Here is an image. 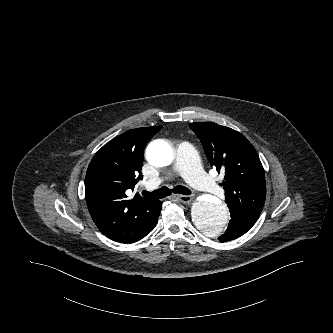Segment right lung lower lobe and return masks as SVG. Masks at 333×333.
Here are the masks:
<instances>
[{
  "mask_svg": "<svg viewBox=\"0 0 333 333\" xmlns=\"http://www.w3.org/2000/svg\"><path fill=\"white\" fill-rule=\"evenodd\" d=\"M162 203L157 200L154 204L143 210L130 223L125 233L114 241L134 243L149 234L157 224Z\"/></svg>",
  "mask_w": 333,
  "mask_h": 333,
  "instance_id": "1",
  "label": "right lung lower lobe"
}]
</instances>
